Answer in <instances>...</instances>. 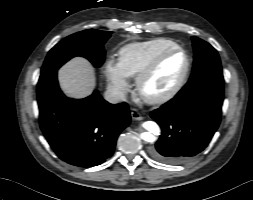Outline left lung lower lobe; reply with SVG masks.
<instances>
[{
	"mask_svg": "<svg viewBox=\"0 0 253 200\" xmlns=\"http://www.w3.org/2000/svg\"><path fill=\"white\" fill-rule=\"evenodd\" d=\"M223 91V84L204 83L152 111L162 130L152 157L177 164L204 150L220 124Z\"/></svg>",
	"mask_w": 253,
	"mask_h": 200,
	"instance_id": "0a47b994",
	"label": "left lung lower lobe"
}]
</instances>
